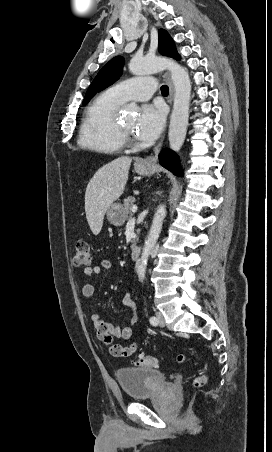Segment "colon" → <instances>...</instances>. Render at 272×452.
<instances>
[{
    "label": "colon",
    "instance_id": "1",
    "mask_svg": "<svg viewBox=\"0 0 272 452\" xmlns=\"http://www.w3.org/2000/svg\"><path fill=\"white\" fill-rule=\"evenodd\" d=\"M93 262V257L90 250V245L87 241L81 240L76 244L75 253L73 256V263L77 267L89 266ZM137 349L136 344L132 343L129 346H115L113 351L121 356H130ZM187 360L185 354H179L177 356V361L183 363ZM136 365L144 367H155L157 365V359L151 355H140L134 360ZM206 382V377L203 374L198 375L193 380L194 387H200Z\"/></svg>",
    "mask_w": 272,
    "mask_h": 452
}]
</instances>
